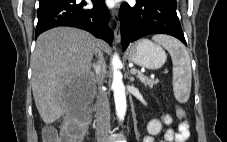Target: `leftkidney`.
Masks as SVG:
<instances>
[{"label":"left kidney","mask_w":227,"mask_h":142,"mask_svg":"<svg viewBox=\"0 0 227 142\" xmlns=\"http://www.w3.org/2000/svg\"><path fill=\"white\" fill-rule=\"evenodd\" d=\"M162 129V124L159 120H151L147 125V132L151 135H158Z\"/></svg>","instance_id":"obj_1"}]
</instances>
